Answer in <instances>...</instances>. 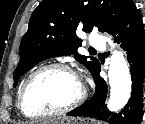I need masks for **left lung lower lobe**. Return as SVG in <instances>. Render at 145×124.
Instances as JSON below:
<instances>
[{
	"instance_id": "left-lung-lower-lobe-1",
	"label": "left lung lower lobe",
	"mask_w": 145,
	"mask_h": 124,
	"mask_svg": "<svg viewBox=\"0 0 145 124\" xmlns=\"http://www.w3.org/2000/svg\"><path fill=\"white\" fill-rule=\"evenodd\" d=\"M116 41L127 53L132 77V93L126 106L118 114L110 112L104 105L107 96V84L100 77L99 65L94 81L96 91L92 98L68 113L69 116H84L106 121L110 124H141L143 116L142 96L145 78V33L143 21L133 5L117 27Z\"/></svg>"
}]
</instances>
